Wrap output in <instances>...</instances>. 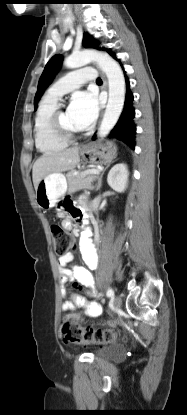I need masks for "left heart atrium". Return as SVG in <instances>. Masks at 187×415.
<instances>
[{
  "instance_id": "39dd6f15",
  "label": "left heart atrium",
  "mask_w": 187,
  "mask_h": 415,
  "mask_svg": "<svg viewBox=\"0 0 187 415\" xmlns=\"http://www.w3.org/2000/svg\"><path fill=\"white\" fill-rule=\"evenodd\" d=\"M67 112L77 127L86 129L95 121L98 114L96 96L87 91L75 93L71 98Z\"/></svg>"
}]
</instances>
